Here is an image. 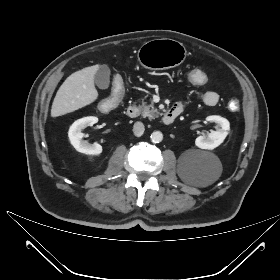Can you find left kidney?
Here are the masks:
<instances>
[{
    "label": "left kidney",
    "instance_id": "1",
    "mask_svg": "<svg viewBox=\"0 0 280 280\" xmlns=\"http://www.w3.org/2000/svg\"><path fill=\"white\" fill-rule=\"evenodd\" d=\"M206 120L216 123V131L211 132L207 137L204 135L197 137L195 145L200 149L212 150L223 143L230 130V123L227 119L218 115L208 116Z\"/></svg>",
    "mask_w": 280,
    "mask_h": 280
}]
</instances>
